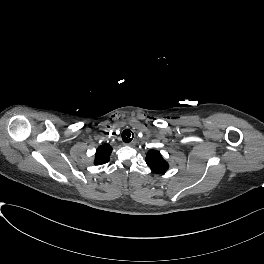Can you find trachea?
Instances as JSON below:
<instances>
[{"mask_svg":"<svg viewBox=\"0 0 264 264\" xmlns=\"http://www.w3.org/2000/svg\"><path fill=\"white\" fill-rule=\"evenodd\" d=\"M133 138V132L129 129H125L123 132H122V140L126 143H129L131 142Z\"/></svg>","mask_w":264,"mask_h":264,"instance_id":"3493384b","label":"trachea"}]
</instances>
